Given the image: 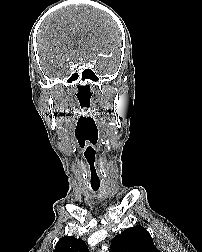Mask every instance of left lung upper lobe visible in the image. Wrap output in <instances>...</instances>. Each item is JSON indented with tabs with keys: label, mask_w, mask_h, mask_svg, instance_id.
<instances>
[{
	"label": "left lung upper lobe",
	"mask_w": 202,
	"mask_h": 252,
	"mask_svg": "<svg viewBox=\"0 0 202 252\" xmlns=\"http://www.w3.org/2000/svg\"><path fill=\"white\" fill-rule=\"evenodd\" d=\"M111 252H160L149 232L140 225L127 228L112 240Z\"/></svg>",
	"instance_id": "obj_1"
}]
</instances>
